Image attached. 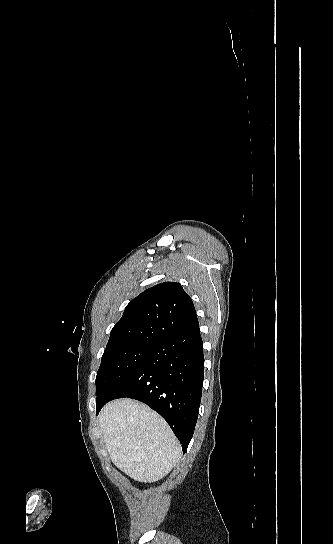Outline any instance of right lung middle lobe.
I'll return each instance as SVG.
<instances>
[{
  "instance_id": "obj_1",
  "label": "right lung middle lobe",
  "mask_w": 333,
  "mask_h": 544,
  "mask_svg": "<svg viewBox=\"0 0 333 544\" xmlns=\"http://www.w3.org/2000/svg\"><path fill=\"white\" fill-rule=\"evenodd\" d=\"M152 350V344H134L106 350L96 377V406L107 403L129 381Z\"/></svg>"
}]
</instances>
